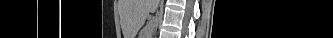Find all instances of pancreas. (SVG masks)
Segmentation results:
<instances>
[{"label": "pancreas", "mask_w": 333, "mask_h": 38, "mask_svg": "<svg viewBox=\"0 0 333 38\" xmlns=\"http://www.w3.org/2000/svg\"><path fill=\"white\" fill-rule=\"evenodd\" d=\"M153 30V24H148L144 30L141 32V36H147L149 32H152Z\"/></svg>", "instance_id": "1"}]
</instances>
